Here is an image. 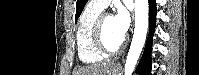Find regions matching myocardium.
<instances>
[{
    "mask_svg": "<svg viewBox=\"0 0 199 75\" xmlns=\"http://www.w3.org/2000/svg\"><path fill=\"white\" fill-rule=\"evenodd\" d=\"M106 14H100L93 26L92 30V40L95 48L100 52L102 55H112L120 52L125 44V40L123 39L121 43L115 48H109L106 46L103 40V22Z\"/></svg>",
    "mask_w": 199,
    "mask_h": 75,
    "instance_id": "myocardium-1",
    "label": "myocardium"
}]
</instances>
